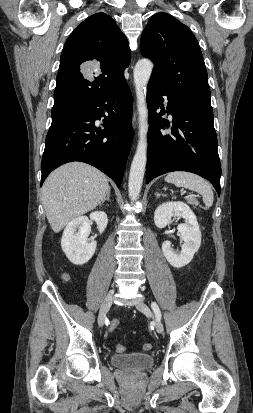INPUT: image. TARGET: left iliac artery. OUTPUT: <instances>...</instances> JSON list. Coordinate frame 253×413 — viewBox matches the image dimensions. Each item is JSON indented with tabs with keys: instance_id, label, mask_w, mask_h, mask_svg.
<instances>
[{
	"instance_id": "44dca946",
	"label": "left iliac artery",
	"mask_w": 253,
	"mask_h": 413,
	"mask_svg": "<svg viewBox=\"0 0 253 413\" xmlns=\"http://www.w3.org/2000/svg\"><path fill=\"white\" fill-rule=\"evenodd\" d=\"M151 308L153 309L156 317L160 319V318H161V312H160V310H159L158 305H157L155 302H152V303H151Z\"/></svg>"
}]
</instances>
